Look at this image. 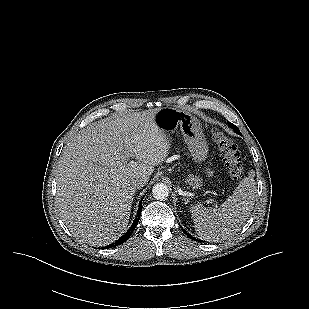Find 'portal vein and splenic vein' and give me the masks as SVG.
Segmentation results:
<instances>
[{"label": "portal vein and splenic vein", "instance_id": "obj_1", "mask_svg": "<svg viewBox=\"0 0 309 309\" xmlns=\"http://www.w3.org/2000/svg\"><path fill=\"white\" fill-rule=\"evenodd\" d=\"M207 203H212V200L210 201V200H207Z\"/></svg>", "mask_w": 309, "mask_h": 309}]
</instances>
